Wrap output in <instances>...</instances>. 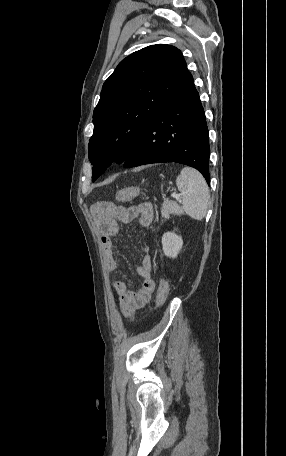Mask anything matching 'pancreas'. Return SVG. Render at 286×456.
I'll return each mask as SVG.
<instances>
[{
  "instance_id": "pancreas-1",
  "label": "pancreas",
  "mask_w": 286,
  "mask_h": 456,
  "mask_svg": "<svg viewBox=\"0 0 286 456\" xmlns=\"http://www.w3.org/2000/svg\"><path fill=\"white\" fill-rule=\"evenodd\" d=\"M170 214L183 215V210L177 202L166 199L161 208V215L164 218H169Z\"/></svg>"
}]
</instances>
